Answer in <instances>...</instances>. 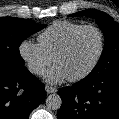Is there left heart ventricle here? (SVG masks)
<instances>
[{"instance_id": "obj_1", "label": "left heart ventricle", "mask_w": 119, "mask_h": 119, "mask_svg": "<svg viewBox=\"0 0 119 119\" xmlns=\"http://www.w3.org/2000/svg\"><path fill=\"white\" fill-rule=\"evenodd\" d=\"M99 46L98 33L92 29L85 30L78 35L70 50L61 56L55 65L62 69L67 78L79 75L93 62Z\"/></svg>"}]
</instances>
